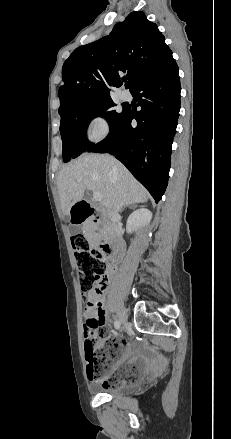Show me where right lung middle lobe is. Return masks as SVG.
Wrapping results in <instances>:
<instances>
[{
	"instance_id": "dd1d6c3e",
	"label": "right lung middle lobe",
	"mask_w": 231,
	"mask_h": 439,
	"mask_svg": "<svg viewBox=\"0 0 231 439\" xmlns=\"http://www.w3.org/2000/svg\"><path fill=\"white\" fill-rule=\"evenodd\" d=\"M114 106L115 103L111 97H108L84 101L59 113L64 162L78 157L90 147L91 143L87 140L86 131L92 119L98 116L104 117L108 121L110 129L118 122L125 108H123L122 113H117L113 109Z\"/></svg>"
}]
</instances>
